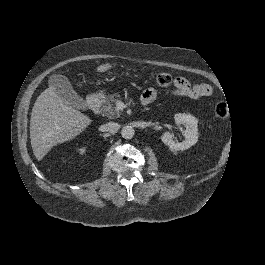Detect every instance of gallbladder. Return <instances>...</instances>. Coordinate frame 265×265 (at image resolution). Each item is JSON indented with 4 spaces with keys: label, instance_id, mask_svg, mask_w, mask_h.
<instances>
[{
    "label": "gallbladder",
    "instance_id": "bac80fb5",
    "mask_svg": "<svg viewBox=\"0 0 265 265\" xmlns=\"http://www.w3.org/2000/svg\"><path fill=\"white\" fill-rule=\"evenodd\" d=\"M49 86L55 88L58 96L64 99L68 104L79 110H86L87 103L73 89L66 76L53 74L48 80Z\"/></svg>",
    "mask_w": 265,
    "mask_h": 265
}]
</instances>
